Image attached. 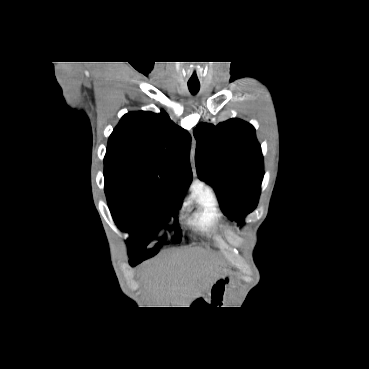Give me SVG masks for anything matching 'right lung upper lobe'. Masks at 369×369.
<instances>
[{
	"label": "right lung upper lobe",
	"instance_id": "obj_1",
	"mask_svg": "<svg viewBox=\"0 0 369 369\" xmlns=\"http://www.w3.org/2000/svg\"><path fill=\"white\" fill-rule=\"evenodd\" d=\"M190 144L189 133L165 111L129 112L109 137L104 175L132 178L144 188L182 202L192 181Z\"/></svg>",
	"mask_w": 369,
	"mask_h": 369
}]
</instances>
